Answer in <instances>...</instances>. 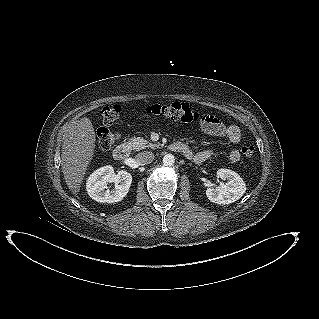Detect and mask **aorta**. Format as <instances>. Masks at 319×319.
I'll list each match as a JSON object with an SVG mask.
<instances>
[{
    "label": "aorta",
    "instance_id": "1",
    "mask_svg": "<svg viewBox=\"0 0 319 319\" xmlns=\"http://www.w3.org/2000/svg\"><path fill=\"white\" fill-rule=\"evenodd\" d=\"M175 163V157L174 155L172 154H166L164 157H163V164L164 166H168V167H171L173 166Z\"/></svg>",
    "mask_w": 319,
    "mask_h": 319
}]
</instances>
